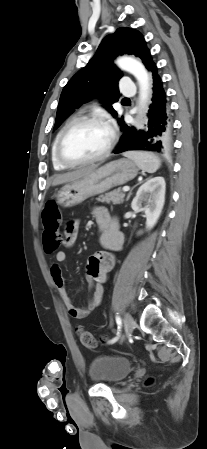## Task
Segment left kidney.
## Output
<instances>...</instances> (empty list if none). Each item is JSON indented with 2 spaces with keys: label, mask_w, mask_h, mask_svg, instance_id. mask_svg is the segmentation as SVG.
Listing matches in <instances>:
<instances>
[{
  "label": "left kidney",
  "mask_w": 207,
  "mask_h": 449,
  "mask_svg": "<svg viewBox=\"0 0 207 449\" xmlns=\"http://www.w3.org/2000/svg\"><path fill=\"white\" fill-rule=\"evenodd\" d=\"M165 189L163 177L151 178L139 187L131 203L135 212L145 213L147 230L152 229L160 217L165 202Z\"/></svg>",
  "instance_id": "left-kidney-1"
}]
</instances>
